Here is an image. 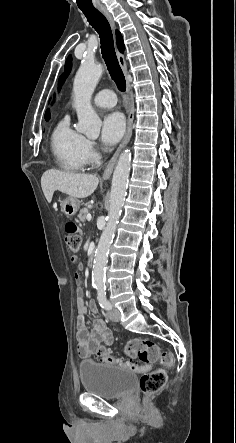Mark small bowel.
I'll use <instances>...</instances> for the list:
<instances>
[{"label": "small bowel", "mask_w": 236, "mask_h": 443, "mask_svg": "<svg viewBox=\"0 0 236 443\" xmlns=\"http://www.w3.org/2000/svg\"><path fill=\"white\" fill-rule=\"evenodd\" d=\"M77 285L81 283V277L78 274L75 277ZM76 310L78 313L76 319V329H77V341L78 354L80 357H87L93 352V348L99 343H104L106 345H111L113 343V336L110 331L104 326L100 319H94L92 321V330L89 332L86 315L88 312L96 313L97 305L95 302L91 301L86 304L83 300V291L80 287L76 289Z\"/></svg>", "instance_id": "1"}]
</instances>
